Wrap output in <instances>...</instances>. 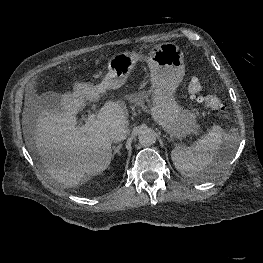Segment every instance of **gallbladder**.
Masks as SVG:
<instances>
[{"label":"gallbladder","instance_id":"1","mask_svg":"<svg viewBox=\"0 0 263 263\" xmlns=\"http://www.w3.org/2000/svg\"><path fill=\"white\" fill-rule=\"evenodd\" d=\"M39 107L50 112H60L62 110L60 95L55 92H46L39 99Z\"/></svg>","mask_w":263,"mask_h":263}]
</instances>
